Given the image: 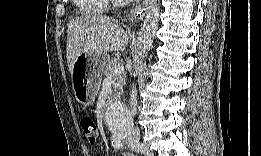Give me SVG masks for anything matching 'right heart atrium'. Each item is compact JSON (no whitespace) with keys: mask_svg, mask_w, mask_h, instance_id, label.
Here are the masks:
<instances>
[{"mask_svg":"<svg viewBox=\"0 0 261 156\" xmlns=\"http://www.w3.org/2000/svg\"><path fill=\"white\" fill-rule=\"evenodd\" d=\"M108 5L106 2H103V7L106 8Z\"/></svg>","mask_w":261,"mask_h":156,"instance_id":"right-heart-atrium-1","label":"right heart atrium"}]
</instances>
